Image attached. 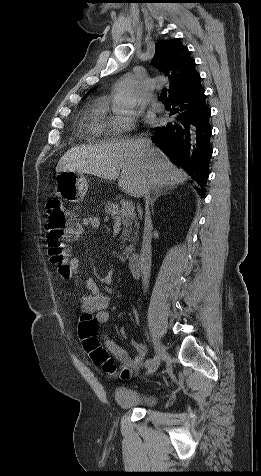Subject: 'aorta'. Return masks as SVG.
Instances as JSON below:
<instances>
[{
    "instance_id": "obj_1",
    "label": "aorta",
    "mask_w": 261,
    "mask_h": 476,
    "mask_svg": "<svg viewBox=\"0 0 261 476\" xmlns=\"http://www.w3.org/2000/svg\"><path fill=\"white\" fill-rule=\"evenodd\" d=\"M137 99V85L134 80L125 79L118 85L114 95V109L118 112L133 110Z\"/></svg>"
}]
</instances>
